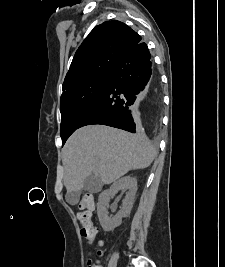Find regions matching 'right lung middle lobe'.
Returning a JSON list of instances; mask_svg holds the SVG:
<instances>
[{"label":"right lung middle lobe","instance_id":"1","mask_svg":"<svg viewBox=\"0 0 225 267\" xmlns=\"http://www.w3.org/2000/svg\"><path fill=\"white\" fill-rule=\"evenodd\" d=\"M111 73L92 77L63 90L60 103L63 144L92 109L110 79Z\"/></svg>","mask_w":225,"mask_h":267}]
</instances>
